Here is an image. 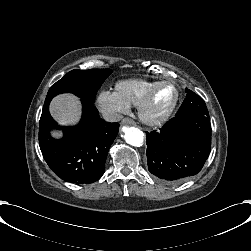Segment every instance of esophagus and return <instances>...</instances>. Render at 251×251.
Listing matches in <instances>:
<instances>
[{
	"label": "esophagus",
	"instance_id": "esophagus-1",
	"mask_svg": "<svg viewBox=\"0 0 251 251\" xmlns=\"http://www.w3.org/2000/svg\"><path fill=\"white\" fill-rule=\"evenodd\" d=\"M134 124H135L134 120H132L131 118H128V117L124 118V119L121 121V125H122V126L134 125Z\"/></svg>",
	"mask_w": 251,
	"mask_h": 251
}]
</instances>
